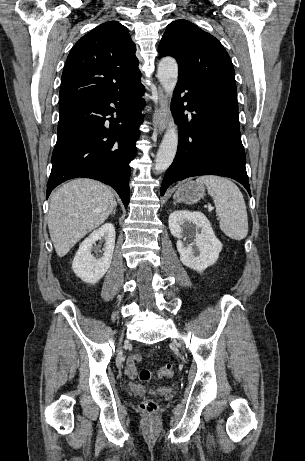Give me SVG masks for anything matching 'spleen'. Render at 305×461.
<instances>
[{"instance_id": "obj_1", "label": "spleen", "mask_w": 305, "mask_h": 461, "mask_svg": "<svg viewBox=\"0 0 305 461\" xmlns=\"http://www.w3.org/2000/svg\"><path fill=\"white\" fill-rule=\"evenodd\" d=\"M197 184L206 185L213 197L220 229L234 240H242L248 234V217L243 195L231 180L214 175L200 176Z\"/></svg>"}]
</instances>
